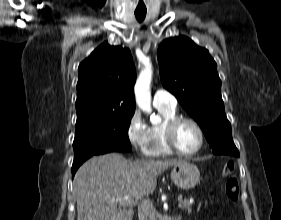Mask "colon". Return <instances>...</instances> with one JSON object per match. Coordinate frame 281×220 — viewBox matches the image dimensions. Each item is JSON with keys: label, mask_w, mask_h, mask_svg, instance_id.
Instances as JSON below:
<instances>
[{"label": "colon", "mask_w": 281, "mask_h": 220, "mask_svg": "<svg viewBox=\"0 0 281 220\" xmlns=\"http://www.w3.org/2000/svg\"><path fill=\"white\" fill-rule=\"evenodd\" d=\"M234 168V164L232 162H228L224 165L222 170L223 176L227 177L225 183V194L232 202H236L239 198V183L237 178L233 175Z\"/></svg>", "instance_id": "obj_1"}]
</instances>
